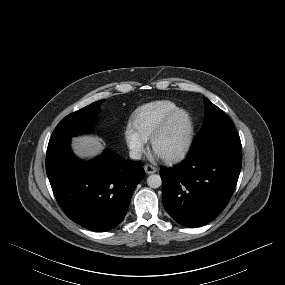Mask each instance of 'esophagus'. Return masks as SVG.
Wrapping results in <instances>:
<instances>
[{"mask_svg": "<svg viewBox=\"0 0 285 285\" xmlns=\"http://www.w3.org/2000/svg\"><path fill=\"white\" fill-rule=\"evenodd\" d=\"M144 171L147 173V174H153L157 171L156 167H154L153 165H150V164H146L144 166Z\"/></svg>", "mask_w": 285, "mask_h": 285, "instance_id": "1", "label": "esophagus"}]
</instances>
